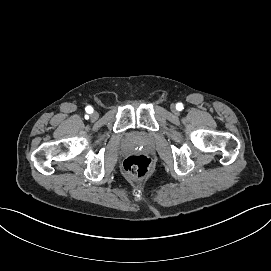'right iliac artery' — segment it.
I'll list each match as a JSON object with an SVG mask.
<instances>
[{
	"instance_id": "82829eb1",
	"label": "right iliac artery",
	"mask_w": 271,
	"mask_h": 271,
	"mask_svg": "<svg viewBox=\"0 0 271 271\" xmlns=\"http://www.w3.org/2000/svg\"><path fill=\"white\" fill-rule=\"evenodd\" d=\"M86 112L89 113V114L92 113L93 112V108L91 106H87L86 107Z\"/></svg>"
}]
</instances>
